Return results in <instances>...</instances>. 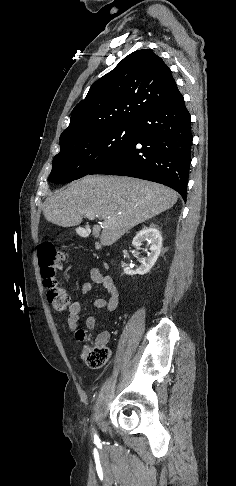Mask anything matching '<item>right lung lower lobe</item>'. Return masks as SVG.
<instances>
[{"mask_svg":"<svg viewBox=\"0 0 236 486\" xmlns=\"http://www.w3.org/2000/svg\"><path fill=\"white\" fill-rule=\"evenodd\" d=\"M135 124L134 140L89 174L154 181L176 190L185 201L193 136L184 98L150 109Z\"/></svg>","mask_w":236,"mask_h":486,"instance_id":"right-lung-lower-lobe-1","label":"right lung lower lobe"}]
</instances>
